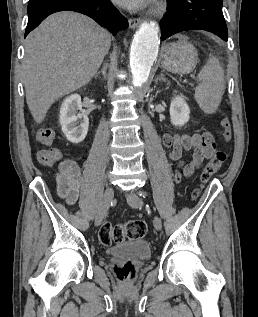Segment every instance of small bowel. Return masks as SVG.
Returning <instances> with one entry per match:
<instances>
[{"mask_svg": "<svg viewBox=\"0 0 258 317\" xmlns=\"http://www.w3.org/2000/svg\"><path fill=\"white\" fill-rule=\"evenodd\" d=\"M54 130L44 127L37 131L36 138L42 145H50L54 139ZM164 147L168 151V156L172 161L178 162V169L175 172V181L179 182L182 176L192 175L204 160L212 157L216 143L213 135L208 132L188 134L164 133L162 136ZM190 153L188 161L183 159L185 153ZM81 182V169L79 165L70 159L59 163L56 174V184L58 195L73 205L78 197Z\"/></svg>", "mask_w": 258, "mask_h": 317, "instance_id": "c3829d8e", "label": "small bowel"}]
</instances>
